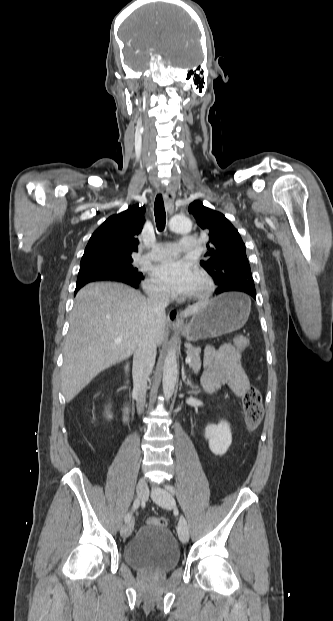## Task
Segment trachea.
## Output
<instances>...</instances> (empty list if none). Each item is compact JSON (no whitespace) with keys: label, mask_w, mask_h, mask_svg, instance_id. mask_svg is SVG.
<instances>
[{"label":"trachea","mask_w":333,"mask_h":621,"mask_svg":"<svg viewBox=\"0 0 333 621\" xmlns=\"http://www.w3.org/2000/svg\"><path fill=\"white\" fill-rule=\"evenodd\" d=\"M154 215L158 231L162 232L166 224V212L161 194H158L154 203Z\"/></svg>","instance_id":"trachea-1"}]
</instances>
